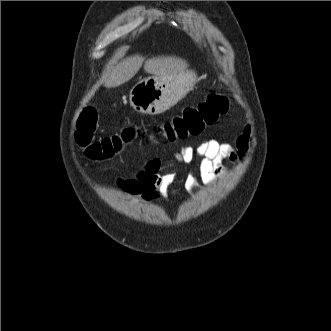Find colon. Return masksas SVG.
Instances as JSON below:
<instances>
[{
    "label": "colon",
    "instance_id": "obj_1",
    "mask_svg": "<svg viewBox=\"0 0 331 331\" xmlns=\"http://www.w3.org/2000/svg\"><path fill=\"white\" fill-rule=\"evenodd\" d=\"M229 107L225 96L212 93L195 107L184 109L182 114L164 122L161 126L163 136L168 141H175L199 135L206 126L215 123ZM97 113L92 107L82 112L76 131V139L85 150V155L92 160H104L113 157L132 141L133 128H125L120 133L94 140Z\"/></svg>",
    "mask_w": 331,
    "mask_h": 331
}]
</instances>
